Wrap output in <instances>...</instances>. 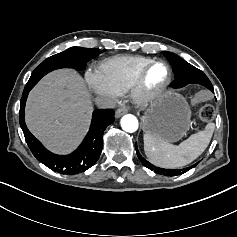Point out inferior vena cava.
<instances>
[{
    "mask_svg": "<svg viewBox=\"0 0 237 237\" xmlns=\"http://www.w3.org/2000/svg\"><path fill=\"white\" fill-rule=\"evenodd\" d=\"M95 104L102 109H106V108H115L116 106V102L106 96H97L95 98Z\"/></svg>",
    "mask_w": 237,
    "mask_h": 237,
    "instance_id": "1",
    "label": "inferior vena cava"
}]
</instances>
